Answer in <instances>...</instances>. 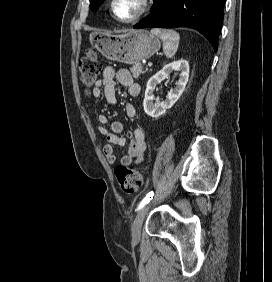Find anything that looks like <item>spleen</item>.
Listing matches in <instances>:
<instances>
[{
	"label": "spleen",
	"instance_id": "obj_1",
	"mask_svg": "<svg viewBox=\"0 0 272 282\" xmlns=\"http://www.w3.org/2000/svg\"><path fill=\"white\" fill-rule=\"evenodd\" d=\"M151 34L163 41V51L167 58H173L179 46L180 35L170 29H151Z\"/></svg>",
	"mask_w": 272,
	"mask_h": 282
}]
</instances>
